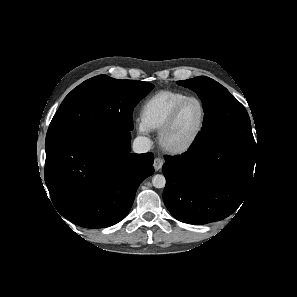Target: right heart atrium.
Masks as SVG:
<instances>
[{"instance_id": "1", "label": "right heart atrium", "mask_w": 297, "mask_h": 297, "mask_svg": "<svg viewBox=\"0 0 297 297\" xmlns=\"http://www.w3.org/2000/svg\"><path fill=\"white\" fill-rule=\"evenodd\" d=\"M137 128H138V131L141 133H145L147 131V129L143 126L141 122L138 123Z\"/></svg>"}]
</instances>
